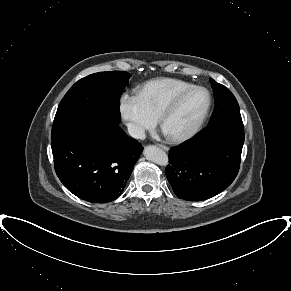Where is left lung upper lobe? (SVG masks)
Masks as SVG:
<instances>
[{
  "mask_svg": "<svg viewBox=\"0 0 291 291\" xmlns=\"http://www.w3.org/2000/svg\"><path fill=\"white\" fill-rule=\"evenodd\" d=\"M210 82L215 97V109L210 124L220 119L242 120L238 102L232 92L211 78Z\"/></svg>",
  "mask_w": 291,
  "mask_h": 291,
  "instance_id": "5c2ea615",
  "label": "left lung upper lobe"
}]
</instances>
